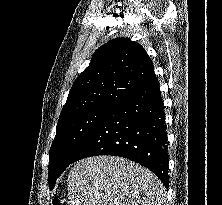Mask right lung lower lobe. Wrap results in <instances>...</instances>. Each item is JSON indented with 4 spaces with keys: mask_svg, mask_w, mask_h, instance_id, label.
<instances>
[{
    "mask_svg": "<svg viewBox=\"0 0 222 205\" xmlns=\"http://www.w3.org/2000/svg\"><path fill=\"white\" fill-rule=\"evenodd\" d=\"M164 106L158 79L121 99L102 119L72 160L113 155L154 172L168 187V152Z\"/></svg>",
    "mask_w": 222,
    "mask_h": 205,
    "instance_id": "obj_1",
    "label": "right lung lower lobe"
}]
</instances>
